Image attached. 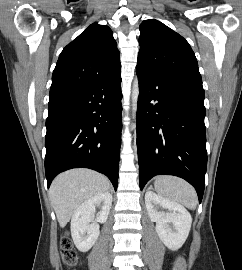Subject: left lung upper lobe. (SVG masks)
<instances>
[{"mask_svg": "<svg viewBox=\"0 0 242 270\" xmlns=\"http://www.w3.org/2000/svg\"><path fill=\"white\" fill-rule=\"evenodd\" d=\"M137 67L182 88L204 93L197 59L189 43L155 19L140 24Z\"/></svg>", "mask_w": 242, "mask_h": 270, "instance_id": "1", "label": "left lung upper lobe"}]
</instances>
